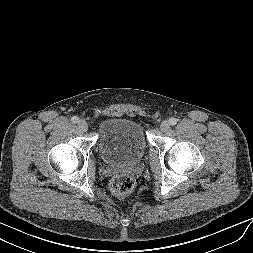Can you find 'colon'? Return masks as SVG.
<instances>
[{
  "instance_id": "colon-1",
  "label": "colon",
  "mask_w": 253,
  "mask_h": 253,
  "mask_svg": "<svg viewBox=\"0 0 253 253\" xmlns=\"http://www.w3.org/2000/svg\"><path fill=\"white\" fill-rule=\"evenodd\" d=\"M134 179L129 175H118L112 181V190L118 196L129 194L134 188Z\"/></svg>"
}]
</instances>
